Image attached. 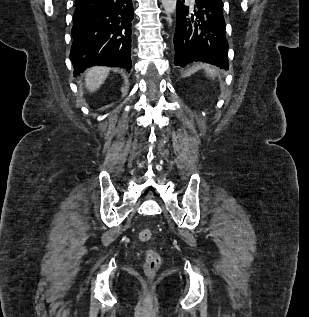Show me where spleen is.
<instances>
[{"label": "spleen", "instance_id": "1", "mask_svg": "<svg viewBox=\"0 0 309 317\" xmlns=\"http://www.w3.org/2000/svg\"><path fill=\"white\" fill-rule=\"evenodd\" d=\"M206 73H207L208 75H210L211 77H215V75H216L215 70H214V69H211V68H208V69L206 70Z\"/></svg>", "mask_w": 309, "mask_h": 317}]
</instances>
